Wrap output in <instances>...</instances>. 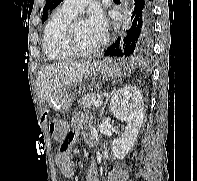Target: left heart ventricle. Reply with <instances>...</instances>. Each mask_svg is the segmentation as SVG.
<instances>
[{"label": "left heart ventricle", "mask_w": 197, "mask_h": 181, "mask_svg": "<svg viewBox=\"0 0 197 181\" xmlns=\"http://www.w3.org/2000/svg\"><path fill=\"white\" fill-rule=\"evenodd\" d=\"M101 37L97 35L87 24V21L80 20L76 27V41L80 48L84 50H89L96 47L100 41Z\"/></svg>", "instance_id": "1"}]
</instances>
